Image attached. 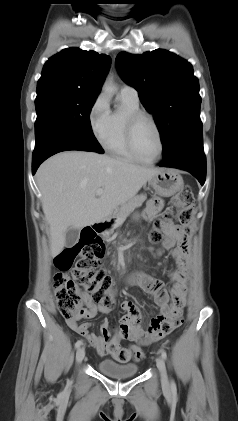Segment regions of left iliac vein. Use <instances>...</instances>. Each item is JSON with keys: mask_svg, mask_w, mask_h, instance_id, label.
Here are the masks:
<instances>
[{"mask_svg": "<svg viewBox=\"0 0 238 421\" xmlns=\"http://www.w3.org/2000/svg\"><path fill=\"white\" fill-rule=\"evenodd\" d=\"M156 365L160 371V375H161V382L164 386H168L169 385V381H168V376H167V371H166V366H165V361L162 357H158L156 359Z\"/></svg>", "mask_w": 238, "mask_h": 421, "instance_id": "4c4485c4", "label": "left iliac vein"}]
</instances>
